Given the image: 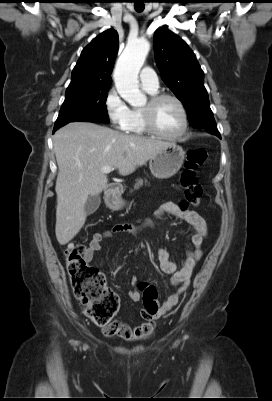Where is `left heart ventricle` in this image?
I'll list each match as a JSON object with an SVG mask.
<instances>
[{
  "label": "left heart ventricle",
  "instance_id": "b2bd125f",
  "mask_svg": "<svg viewBox=\"0 0 272 401\" xmlns=\"http://www.w3.org/2000/svg\"><path fill=\"white\" fill-rule=\"evenodd\" d=\"M154 118L158 129L167 135H175L183 127L181 111L178 105L169 99L161 101L156 106Z\"/></svg>",
  "mask_w": 272,
  "mask_h": 401
}]
</instances>
